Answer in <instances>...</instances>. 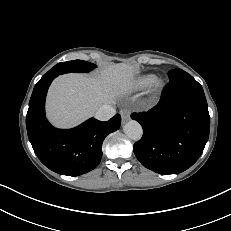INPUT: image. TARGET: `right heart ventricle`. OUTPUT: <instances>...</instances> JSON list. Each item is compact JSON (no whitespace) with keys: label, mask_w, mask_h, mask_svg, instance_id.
<instances>
[{"label":"right heart ventricle","mask_w":231,"mask_h":231,"mask_svg":"<svg viewBox=\"0 0 231 231\" xmlns=\"http://www.w3.org/2000/svg\"><path fill=\"white\" fill-rule=\"evenodd\" d=\"M155 81H156L155 75L152 74L142 75L133 81L132 86L136 90H144L150 87Z\"/></svg>","instance_id":"1"}]
</instances>
